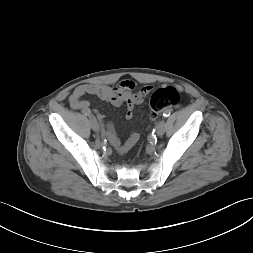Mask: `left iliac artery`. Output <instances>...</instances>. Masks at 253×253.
I'll return each mask as SVG.
<instances>
[{
  "instance_id": "left-iliac-artery-1",
  "label": "left iliac artery",
  "mask_w": 253,
  "mask_h": 253,
  "mask_svg": "<svg viewBox=\"0 0 253 253\" xmlns=\"http://www.w3.org/2000/svg\"><path fill=\"white\" fill-rule=\"evenodd\" d=\"M170 111L169 110H166L164 113H163V116L164 117H168L170 115Z\"/></svg>"
}]
</instances>
